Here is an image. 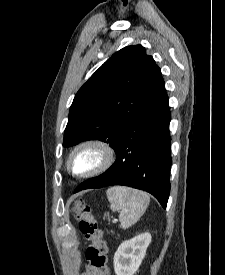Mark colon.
Here are the masks:
<instances>
[{
  "label": "colon",
  "instance_id": "5ec220e1",
  "mask_svg": "<svg viewBox=\"0 0 225 275\" xmlns=\"http://www.w3.org/2000/svg\"><path fill=\"white\" fill-rule=\"evenodd\" d=\"M74 212L79 222V227L89 245L85 251L86 259L95 269L109 275L107 245L103 239V233L98 222L93 217L91 208L83 200H77L74 204Z\"/></svg>",
  "mask_w": 225,
  "mask_h": 275
}]
</instances>
